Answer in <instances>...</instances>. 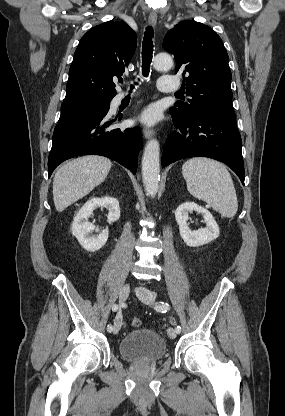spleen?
Here are the masks:
<instances>
[{"instance_id":"3e777b00","label":"spleen","mask_w":285,"mask_h":416,"mask_svg":"<svg viewBox=\"0 0 285 416\" xmlns=\"http://www.w3.org/2000/svg\"><path fill=\"white\" fill-rule=\"evenodd\" d=\"M182 174L191 196L212 206L223 218L235 216L238 200L226 166L209 158H192L183 164Z\"/></svg>"}]
</instances>
